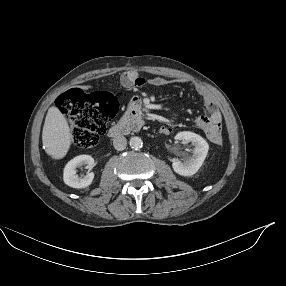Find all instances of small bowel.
Masks as SVG:
<instances>
[{"label": "small bowel", "mask_w": 286, "mask_h": 286, "mask_svg": "<svg viewBox=\"0 0 286 286\" xmlns=\"http://www.w3.org/2000/svg\"><path fill=\"white\" fill-rule=\"evenodd\" d=\"M120 82L122 85L132 88V87H141L146 85H152L156 87H160L165 85V80L162 78H154L151 80L142 78L139 76L137 72L128 71L122 74L120 77ZM196 92L200 95L203 99V102L206 107V115L199 116L195 120V125L201 131H204V128L211 123H216L222 126V115L217 106L215 105L214 99L212 95L201 86L196 88ZM142 104V99L139 96H134L129 100V106L132 109H137ZM160 131L163 134H170L172 132V128L169 126H162ZM217 144V143H216Z\"/></svg>", "instance_id": "obj_1"}]
</instances>
